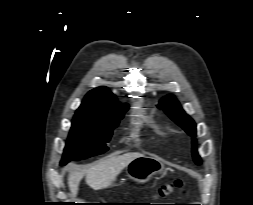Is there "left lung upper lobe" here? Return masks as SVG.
Listing matches in <instances>:
<instances>
[{"mask_svg": "<svg viewBox=\"0 0 253 205\" xmlns=\"http://www.w3.org/2000/svg\"><path fill=\"white\" fill-rule=\"evenodd\" d=\"M158 107L164 110L169 117L182 127L190 136L196 137V124L194 121L183 111L179 102L173 95H168L160 100ZM193 158L196 164H201L200 156L195 148L196 140L193 139Z\"/></svg>", "mask_w": 253, "mask_h": 205, "instance_id": "left-lung-upper-lobe-1", "label": "left lung upper lobe"}]
</instances>
